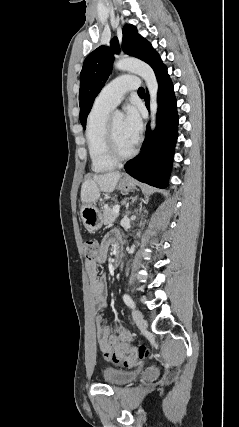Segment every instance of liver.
Listing matches in <instances>:
<instances>
[{"mask_svg":"<svg viewBox=\"0 0 239 427\" xmlns=\"http://www.w3.org/2000/svg\"><path fill=\"white\" fill-rule=\"evenodd\" d=\"M120 177V172L116 171L94 175L92 179L84 181L81 187L82 203H95L100 196V192L114 191Z\"/></svg>","mask_w":239,"mask_h":427,"instance_id":"liver-1","label":"liver"}]
</instances>
